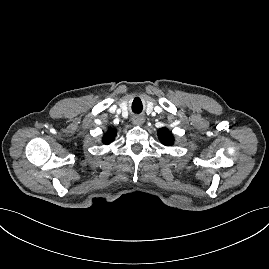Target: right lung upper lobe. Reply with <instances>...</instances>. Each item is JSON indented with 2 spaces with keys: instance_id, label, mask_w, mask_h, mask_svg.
<instances>
[{
  "instance_id": "cb5924a9",
  "label": "right lung upper lobe",
  "mask_w": 269,
  "mask_h": 269,
  "mask_svg": "<svg viewBox=\"0 0 269 269\" xmlns=\"http://www.w3.org/2000/svg\"><path fill=\"white\" fill-rule=\"evenodd\" d=\"M116 130L110 128L103 136L102 141L104 144H110L111 142H113V140L115 139L116 136Z\"/></svg>"
}]
</instances>
